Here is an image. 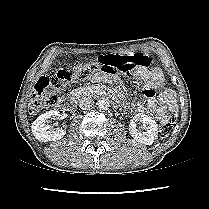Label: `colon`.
<instances>
[{
  "label": "colon",
  "mask_w": 209,
  "mask_h": 209,
  "mask_svg": "<svg viewBox=\"0 0 209 209\" xmlns=\"http://www.w3.org/2000/svg\"><path fill=\"white\" fill-rule=\"evenodd\" d=\"M150 59L144 54L120 55L110 54L102 56L97 62L90 65L89 71L102 70L112 73L121 71L128 73L138 66H147ZM73 66L71 70H54L49 76H42L36 82L29 103V112L36 114L39 111L56 106L59 102V93L63 92L79 79L74 75ZM176 119V112H169L161 121L159 126V136L166 137L171 129V125Z\"/></svg>",
  "instance_id": "1"
}]
</instances>
